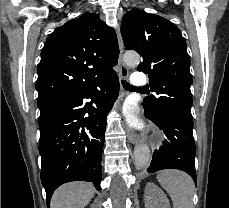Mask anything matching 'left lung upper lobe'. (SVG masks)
<instances>
[{"instance_id": "obj_1", "label": "left lung upper lobe", "mask_w": 229, "mask_h": 208, "mask_svg": "<svg viewBox=\"0 0 229 208\" xmlns=\"http://www.w3.org/2000/svg\"><path fill=\"white\" fill-rule=\"evenodd\" d=\"M121 35L126 50L142 56L138 71L148 73L150 90L157 94L144 99V109L193 122L190 58L178 27L161 16L130 11L123 16Z\"/></svg>"}]
</instances>
